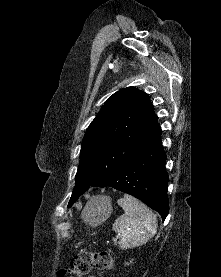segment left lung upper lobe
Here are the masks:
<instances>
[{
    "instance_id": "left-lung-upper-lobe-1",
    "label": "left lung upper lobe",
    "mask_w": 221,
    "mask_h": 277,
    "mask_svg": "<svg viewBox=\"0 0 221 277\" xmlns=\"http://www.w3.org/2000/svg\"><path fill=\"white\" fill-rule=\"evenodd\" d=\"M160 131L146 93L135 87L114 93L86 131L70 200L79 198Z\"/></svg>"
}]
</instances>
